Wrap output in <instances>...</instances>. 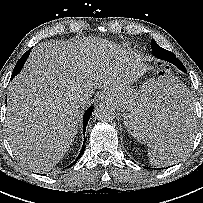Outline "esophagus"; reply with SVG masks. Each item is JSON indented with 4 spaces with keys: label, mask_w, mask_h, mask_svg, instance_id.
Listing matches in <instances>:
<instances>
[{
    "label": "esophagus",
    "mask_w": 203,
    "mask_h": 203,
    "mask_svg": "<svg viewBox=\"0 0 203 203\" xmlns=\"http://www.w3.org/2000/svg\"><path fill=\"white\" fill-rule=\"evenodd\" d=\"M104 99H106V96H105V95H102V96H101V100H104Z\"/></svg>",
    "instance_id": "34e87169"
}]
</instances>
